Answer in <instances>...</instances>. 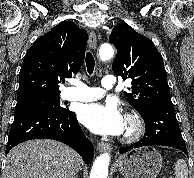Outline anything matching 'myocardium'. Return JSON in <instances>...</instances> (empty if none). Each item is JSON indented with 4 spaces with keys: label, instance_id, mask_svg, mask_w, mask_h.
Masks as SVG:
<instances>
[{
    "label": "myocardium",
    "instance_id": "1",
    "mask_svg": "<svg viewBox=\"0 0 194 178\" xmlns=\"http://www.w3.org/2000/svg\"><path fill=\"white\" fill-rule=\"evenodd\" d=\"M125 121L129 124V129L121 136L124 143H133L139 140L145 132V123L142 117L135 112L125 114Z\"/></svg>",
    "mask_w": 194,
    "mask_h": 178
}]
</instances>
